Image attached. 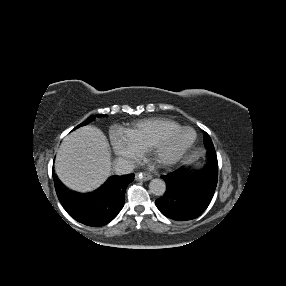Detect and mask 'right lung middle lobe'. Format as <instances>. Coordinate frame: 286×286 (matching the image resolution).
<instances>
[{
  "label": "right lung middle lobe",
  "mask_w": 286,
  "mask_h": 286,
  "mask_svg": "<svg viewBox=\"0 0 286 286\" xmlns=\"http://www.w3.org/2000/svg\"><path fill=\"white\" fill-rule=\"evenodd\" d=\"M102 116H104V115H97V117H102ZM93 120H94V116H90V117L87 118V120H85L83 123H81L80 125H78L76 128H79V127H81V126L87 125V124H89L90 122H92ZM76 128H75V129H76Z\"/></svg>",
  "instance_id": "dd1d6c3e"
}]
</instances>
